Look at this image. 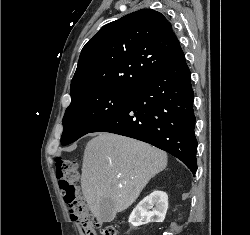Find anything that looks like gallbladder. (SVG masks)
<instances>
[{"mask_svg":"<svg viewBox=\"0 0 250 235\" xmlns=\"http://www.w3.org/2000/svg\"><path fill=\"white\" fill-rule=\"evenodd\" d=\"M116 216V205L111 198H105L100 206L101 222H111Z\"/></svg>","mask_w":250,"mask_h":235,"instance_id":"1","label":"gallbladder"}]
</instances>
